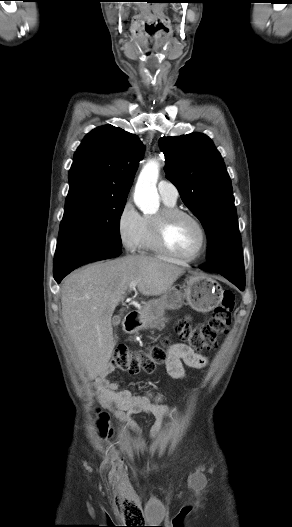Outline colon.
I'll use <instances>...</instances> for the list:
<instances>
[{
  "mask_svg": "<svg viewBox=\"0 0 292 527\" xmlns=\"http://www.w3.org/2000/svg\"><path fill=\"white\" fill-rule=\"evenodd\" d=\"M235 306V295L230 290L222 294L220 304L214 309L211 318L205 324L191 325L186 321H179L175 325V332L194 351L212 350L217 345L219 336L225 334L231 324L232 311ZM168 341L154 345L146 350L132 351L125 346L117 348L112 364L116 368L130 374L152 372L166 359L165 347ZM101 430L104 435L112 431L107 425V416L102 415ZM133 509L139 513L140 509L134 505Z\"/></svg>",
  "mask_w": 292,
  "mask_h": 527,
  "instance_id": "obj_1",
  "label": "colon"
}]
</instances>
